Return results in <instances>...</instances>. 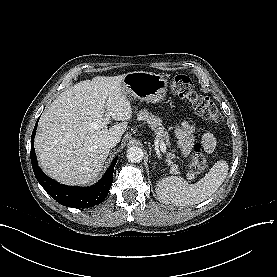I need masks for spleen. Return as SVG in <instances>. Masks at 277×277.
I'll list each match as a JSON object with an SVG mask.
<instances>
[{
    "instance_id": "spleen-1",
    "label": "spleen",
    "mask_w": 277,
    "mask_h": 277,
    "mask_svg": "<svg viewBox=\"0 0 277 277\" xmlns=\"http://www.w3.org/2000/svg\"><path fill=\"white\" fill-rule=\"evenodd\" d=\"M229 165L225 160L217 161L210 171L195 184H189L180 176H164L157 181L156 192L163 202L176 206L198 204L223 184L228 175Z\"/></svg>"
}]
</instances>
